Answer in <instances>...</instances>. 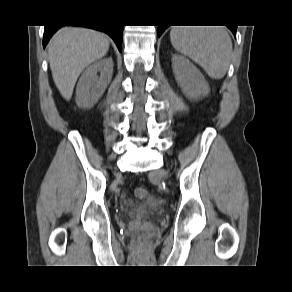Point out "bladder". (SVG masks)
Returning <instances> with one entry per match:
<instances>
[{
    "label": "bladder",
    "instance_id": "bladder-1",
    "mask_svg": "<svg viewBox=\"0 0 292 292\" xmlns=\"http://www.w3.org/2000/svg\"><path fill=\"white\" fill-rule=\"evenodd\" d=\"M158 200L156 197L152 196L148 198L146 204L142 205L141 207L137 208L135 213L136 214H149L150 212L154 211L158 207Z\"/></svg>",
    "mask_w": 292,
    "mask_h": 292
}]
</instances>
